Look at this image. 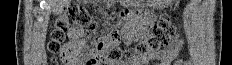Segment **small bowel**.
<instances>
[{
  "mask_svg": "<svg viewBox=\"0 0 232 65\" xmlns=\"http://www.w3.org/2000/svg\"><path fill=\"white\" fill-rule=\"evenodd\" d=\"M119 17H126V20H134V23H125L123 29H118L121 24L115 25V20H108L104 37H116L125 45H136L141 37H147L150 28L154 27L153 12H119ZM126 31V32H125ZM69 42L64 46L65 62L69 65L78 64V56L80 51L86 46V40L82 29L72 28L68 32ZM184 44V40L176 36L162 50L150 53L146 56H140L132 60H125L121 63L108 62L107 65H145L150 62H156V65H189V63L178 60V54Z\"/></svg>",
  "mask_w": 232,
  "mask_h": 65,
  "instance_id": "obj_1",
  "label": "small bowel"
}]
</instances>
